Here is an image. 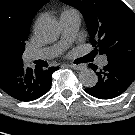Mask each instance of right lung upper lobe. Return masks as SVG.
<instances>
[{
  "mask_svg": "<svg viewBox=\"0 0 135 135\" xmlns=\"http://www.w3.org/2000/svg\"><path fill=\"white\" fill-rule=\"evenodd\" d=\"M49 1L50 0H0V25H9L29 34L33 17L37 11ZM0 62L20 63L1 57Z\"/></svg>",
  "mask_w": 135,
  "mask_h": 135,
  "instance_id": "right-lung-upper-lobe-1",
  "label": "right lung upper lobe"
}]
</instances>
